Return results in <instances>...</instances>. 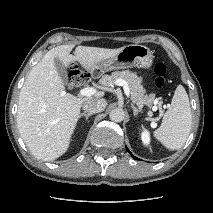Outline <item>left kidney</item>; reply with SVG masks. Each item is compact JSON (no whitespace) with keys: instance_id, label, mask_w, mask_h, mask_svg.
<instances>
[{"instance_id":"1","label":"left kidney","mask_w":213,"mask_h":213,"mask_svg":"<svg viewBox=\"0 0 213 213\" xmlns=\"http://www.w3.org/2000/svg\"><path fill=\"white\" fill-rule=\"evenodd\" d=\"M141 139L144 145H149L150 144V134L149 131H147L146 129L143 130L142 134H141Z\"/></svg>"}]
</instances>
